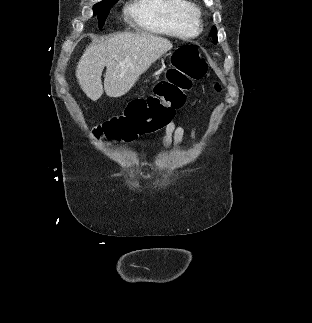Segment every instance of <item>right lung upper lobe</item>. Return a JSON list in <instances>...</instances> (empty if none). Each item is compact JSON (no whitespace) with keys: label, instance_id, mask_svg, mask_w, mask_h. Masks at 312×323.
Segmentation results:
<instances>
[{"label":"right lung upper lobe","instance_id":"right-lung-upper-lobe-1","mask_svg":"<svg viewBox=\"0 0 312 323\" xmlns=\"http://www.w3.org/2000/svg\"><path fill=\"white\" fill-rule=\"evenodd\" d=\"M118 0H103V2L97 3V4H106V3H111L114 2L116 3Z\"/></svg>","mask_w":312,"mask_h":323}]
</instances>
